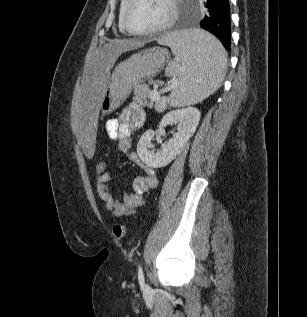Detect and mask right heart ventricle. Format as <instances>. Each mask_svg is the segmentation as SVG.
I'll return each mask as SVG.
<instances>
[{"label": "right heart ventricle", "instance_id": "right-heart-ventricle-1", "mask_svg": "<svg viewBox=\"0 0 307 317\" xmlns=\"http://www.w3.org/2000/svg\"><path fill=\"white\" fill-rule=\"evenodd\" d=\"M126 3H127V0H121L120 8H119L118 28L121 33H126V30L124 29V26L122 23V13Z\"/></svg>", "mask_w": 307, "mask_h": 317}]
</instances>
